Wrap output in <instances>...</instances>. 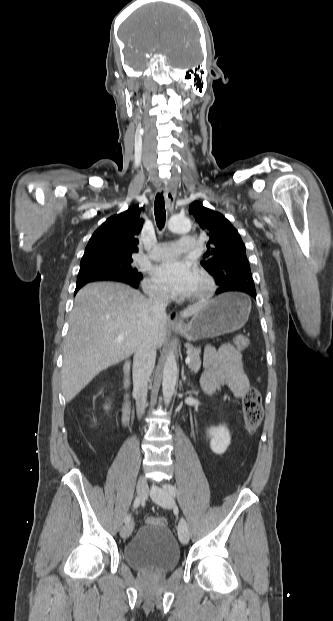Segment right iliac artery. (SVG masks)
I'll return each instance as SVG.
<instances>
[{"mask_svg": "<svg viewBox=\"0 0 333 621\" xmlns=\"http://www.w3.org/2000/svg\"><path fill=\"white\" fill-rule=\"evenodd\" d=\"M140 504H141V498H140V497H137V498L134 500V503H133V508H134V509L138 508V507L140 506ZM130 521H131V514H128V515H126V517H125V519H124V522H125V524H128V523H130Z\"/></svg>", "mask_w": 333, "mask_h": 621, "instance_id": "82829eb1", "label": "right iliac artery"}]
</instances>
